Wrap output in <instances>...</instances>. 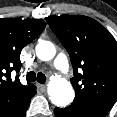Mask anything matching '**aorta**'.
<instances>
[{
  "instance_id": "obj_1",
  "label": "aorta",
  "mask_w": 117,
  "mask_h": 117,
  "mask_svg": "<svg viewBox=\"0 0 117 117\" xmlns=\"http://www.w3.org/2000/svg\"><path fill=\"white\" fill-rule=\"evenodd\" d=\"M56 53L55 46L50 41H41L36 46V55L40 60H51ZM50 101L57 107H66L74 99L71 83L61 76L53 77L48 83Z\"/></svg>"
}]
</instances>
